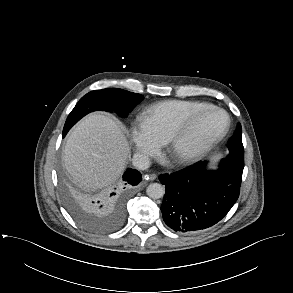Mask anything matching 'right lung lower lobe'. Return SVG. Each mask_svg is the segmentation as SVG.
<instances>
[{
  "mask_svg": "<svg viewBox=\"0 0 293 293\" xmlns=\"http://www.w3.org/2000/svg\"><path fill=\"white\" fill-rule=\"evenodd\" d=\"M142 180V175L137 170L127 169L123 175V183L115 192L108 191L102 195L83 197L89 208L100 215L112 214L113 222L117 228L125 214V199L121 189L127 188L129 185H137ZM111 228L107 231L114 230Z\"/></svg>",
  "mask_w": 293,
  "mask_h": 293,
  "instance_id": "98d812e1",
  "label": "right lung lower lobe"
}]
</instances>
